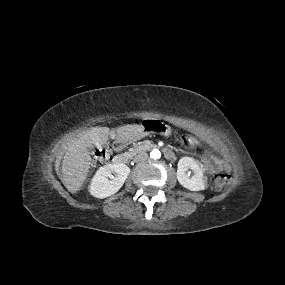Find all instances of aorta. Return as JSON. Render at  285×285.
I'll return each mask as SVG.
<instances>
[{"label":"aorta","mask_w":285,"mask_h":285,"mask_svg":"<svg viewBox=\"0 0 285 285\" xmlns=\"http://www.w3.org/2000/svg\"><path fill=\"white\" fill-rule=\"evenodd\" d=\"M150 157L154 160L159 159L161 157V152L158 149H153L150 152Z\"/></svg>","instance_id":"aorta-1"}]
</instances>
